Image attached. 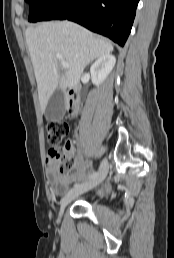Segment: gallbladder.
<instances>
[{"instance_id":"gallbladder-1","label":"gallbladder","mask_w":174,"mask_h":258,"mask_svg":"<svg viewBox=\"0 0 174 258\" xmlns=\"http://www.w3.org/2000/svg\"><path fill=\"white\" fill-rule=\"evenodd\" d=\"M65 111L64 94L59 88H57L47 103L44 115L48 121H58L64 117Z\"/></svg>"}]
</instances>
